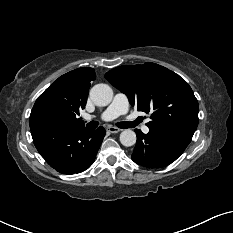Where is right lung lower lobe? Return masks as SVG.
I'll list each match as a JSON object with an SVG mask.
<instances>
[{
	"label": "right lung lower lobe",
	"instance_id": "98d812e1",
	"mask_svg": "<svg viewBox=\"0 0 233 233\" xmlns=\"http://www.w3.org/2000/svg\"><path fill=\"white\" fill-rule=\"evenodd\" d=\"M31 135L38 152L52 168L62 174H73L83 172L94 162L105 130L40 127L32 130Z\"/></svg>",
	"mask_w": 233,
	"mask_h": 233
}]
</instances>
